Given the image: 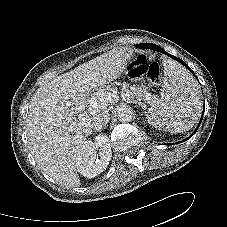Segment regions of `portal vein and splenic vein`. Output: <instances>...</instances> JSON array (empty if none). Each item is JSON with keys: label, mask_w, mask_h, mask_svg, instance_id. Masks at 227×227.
Segmentation results:
<instances>
[{"label": "portal vein and splenic vein", "mask_w": 227, "mask_h": 227, "mask_svg": "<svg viewBox=\"0 0 227 227\" xmlns=\"http://www.w3.org/2000/svg\"><path fill=\"white\" fill-rule=\"evenodd\" d=\"M150 96L151 95L148 93L147 97L145 99L146 100H150V98H151ZM122 97L126 98V97H129V95L128 94H123ZM67 106H70V103H67ZM88 120H89L88 115L85 112H81L78 115V121L73 122L71 124V128L72 127H82V126H84V125H86L88 123Z\"/></svg>", "instance_id": "obj_1"}]
</instances>
